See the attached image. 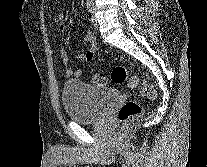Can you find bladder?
<instances>
[{
	"mask_svg": "<svg viewBox=\"0 0 207 167\" xmlns=\"http://www.w3.org/2000/svg\"><path fill=\"white\" fill-rule=\"evenodd\" d=\"M119 97L115 89L92 86L81 80H67L61 99L67 116L78 123L98 121Z\"/></svg>",
	"mask_w": 207,
	"mask_h": 167,
	"instance_id": "bladder-1",
	"label": "bladder"
}]
</instances>
